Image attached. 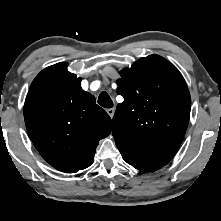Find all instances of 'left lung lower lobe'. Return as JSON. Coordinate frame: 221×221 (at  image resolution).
Returning <instances> with one entry per match:
<instances>
[{
    "label": "left lung lower lobe",
    "mask_w": 221,
    "mask_h": 221,
    "mask_svg": "<svg viewBox=\"0 0 221 221\" xmlns=\"http://www.w3.org/2000/svg\"><path fill=\"white\" fill-rule=\"evenodd\" d=\"M120 153L122 154L123 159L134 168L143 171V172H154L166 163L151 161L140 157L131 150L127 149L124 146H117Z\"/></svg>",
    "instance_id": "left-lung-lower-lobe-1"
}]
</instances>
